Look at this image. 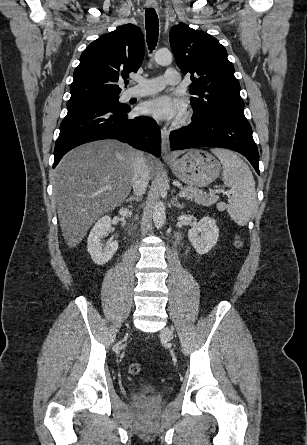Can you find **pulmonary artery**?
Here are the masks:
<instances>
[{"label":"pulmonary artery","mask_w":307,"mask_h":445,"mask_svg":"<svg viewBox=\"0 0 307 445\" xmlns=\"http://www.w3.org/2000/svg\"><path fill=\"white\" fill-rule=\"evenodd\" d=\"M180 69L166 68L159 73L137 76V89H130L128 94L130 97L134 96H148L160 91L166 84H176L178 90H185L187 88V83L183 81ZM150 79H157L160 81H145Z\"/></svg>","instance_id":"e3ab8cb5"}]
</instances>
